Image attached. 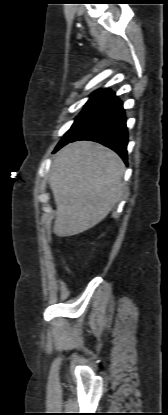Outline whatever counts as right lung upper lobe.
Listing matches in <instances>:
<instances>
[{
	"label": "right lung upper lobe",
	"mask_w": 168,
	"mask_h": 415,
	"mask_svg": "<svg viewBox=\"0 0 168 415\" xmlns=\"http://www.w3.org/2000/svg\"><path fill=\"white\" fill-rule=\"evenodd\" d=\"M105 91H106V89L99 90V91H97V92L95 93V95H96V96H99V95L103 94Z\"/></svg>",
	"instance_id": "cb5924a9"
}]
</instances>
